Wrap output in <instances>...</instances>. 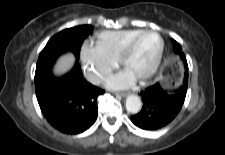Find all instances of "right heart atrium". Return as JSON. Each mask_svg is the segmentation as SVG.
Wrapping results in <instances>:
<instances>
[{"instance_id":"1","label":"right heart atrium","mask_w":225,"mask_h":155,"mask_svg":"<svg viewBox=\"0 0 225 155\" xmlns=\"http://www.w3.org/2000/svg\"><path fill=\"white\" fill-rule=\"evenodd\" d=\"M80 61L86 78L94 84L103 81L117 66V60L89 45L82 46Z\"/></svg>"}]
</instances>
